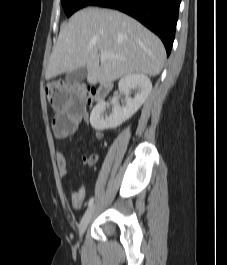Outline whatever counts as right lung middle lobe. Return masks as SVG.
I'll return each mask as SVG.
<instances>
[{
	"mask_svg": "<svg viewBox=\"0 0 227 265\" xmlns=\"http://www.w3.org/2000/svg\"><path fill=\"white\" fill-rule=\"evenodd\" d=\"M92 1L93 0H61L67 17L72 15L75 11L79 10L80 8L88 6Z\"/></svg>",
	"mask_w": 227,
	"mask_h": 265,
	"instance_id": "right-lung-middle-lobe-1",
	"label": "right lung middle lobe"
}]
</instances>
